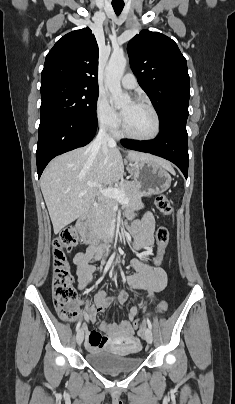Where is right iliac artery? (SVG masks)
<instances>
[{
	"label": "right iliac artery",
	"instance_id": "obj_1",
	"mask_svg": "<svg viewBox=\"0 0 235 404\" xmlns=\"http://www.w3.org/2000/svg\"><path fill=\"white\" fill-rule=\"evenodd\" d=\"M114 257H115V253H113V254L111 255V257L109 258V260H108V262H107V264H106V266H105L104 273H106V272L108 271V269H109L111 263L113 262ZM80 325H81V323H78V324H77V326H76V331L79 330Z\"/></svg>",
	"mask_w": 235,
	"mask_h": 404
}]
</instances>
